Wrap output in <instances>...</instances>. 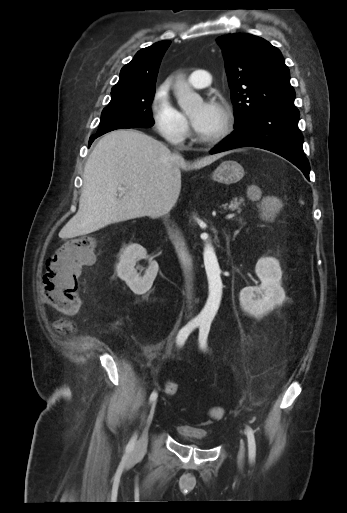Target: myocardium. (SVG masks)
<instances>
[{
  "label": "myocardium",
  "mask_w": 347,
  "mask_h": 513,
  "mask_svg": "<svg viewBox=\"0 0 347 513\" xmlns=\"http://www.w3.org/2000/svg\"><path fill=\"white\" fill-rule=\"evenodd\" d=\"M218 105L221 108L222 113H223L222 128L216 135L209 137V138H204V137L200 136L197 131H195V136H196L197 140L202 144L214 145V144L220 142L222 139H224L232 131L233 117L231 115L229 108L224 103H219Z\"/></svg>",
  "instance_id": "1"
}]
</instances>
